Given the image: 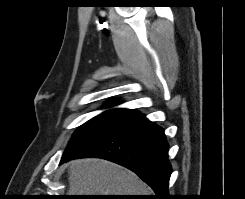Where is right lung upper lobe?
Masks as SVG:
<instances>
[{"instance_id":"obj_1","label":"right lung upper lobe","mask_w":245,"mask_h":199,"mask_svg":"<svg viewBox=\"0 0 245 199\" xmlns=\"http://www.w3.org/2000/svg\"><path fill=\"white\" fill-rule=\"evenodd\" d=\"M119 102H120L119 100H112L105 107L115 106V105L119 104ZM105 113L124 115L127 118L128 117H131L133 115L139 114L138 111H136V110H129V109H113V110H109V111H107Z\"/></svg>"}]
</instances>
